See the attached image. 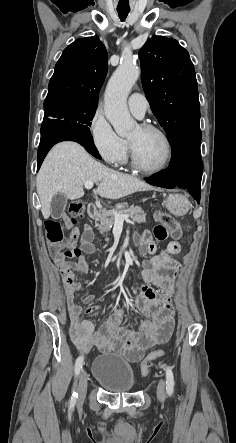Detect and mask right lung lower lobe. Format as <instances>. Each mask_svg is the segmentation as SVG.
<instances>
[{"instance_id": "right-lung-lower-lobe-1", "label": "right lung lower lobe", "mask_w": 236, "mask_h": 443, "mask_svg": "<svg viewBox=\"0 0 236 443\" xmlns=\"http://www.w3.org/2000/svg\"><path fill=\"white\" fill-rule=\"evenodd\" d=\"M65 140L80 143L94 157L101 159V156L94 146L91 134L77 130L67 121L49 120L43 122L41 126V140L37 153L38 170L51 147Z\"/></svg>"}]
</instances>
